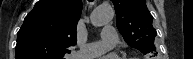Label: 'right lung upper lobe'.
<instances>
[{"label":"right lung upper lobe","instance_id":"right-lung-upper-lobe-1","mask_svg":"<svg viewBox=\"0 0 193 59\" xmlns=\"http://www.w3.org/2000/svg\"><path fill=\"white\" fill-rule=\"evenodd\" d=\"M81 0H40L17 36L16 59H63L76 40Z\"/></svg>","mask_w":193,"mask_h":59}]
</instances>
